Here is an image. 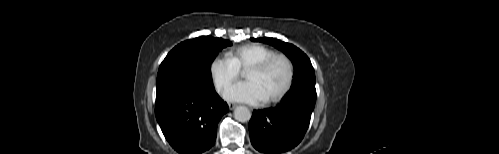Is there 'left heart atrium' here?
Masks as SVG:
<instances>
[{
    "mask_svg": "<svg viewBox=\"0 0 499 154\" xmlns=\"http://www.w3.org/2000/svg\"><path fill=\"white\" fill-rule=\"evenodd\" d=\"M224 97L229 101L258 104L266 100L260 87L253 81L237 82L228 87Z\"/></svg>",
    "mask_w": 499,
    "mask_h": 154,
    "instance_id": "left-heart-atrium-1",
    "label": "left heart atrium"
}]
</instances>
